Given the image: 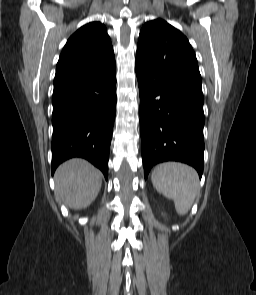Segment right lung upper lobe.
<instances>
[{
    "instance_id": "1",
    "label": "right lung upper lobe",
    "mask_w": 256,
    "mask_h": 295,
    "mask_svg": "<svg viewBox=\"0 0 256 295\" xmlns=\"http://www.w3.org/2000/svg\"><path fill=\"white\" fill-rule=\"evenodd\" d=\"M113 64V47L105 26L100 22H91L68 39L57 63L54 83Z\"/></svg>"
}]
</instances>
